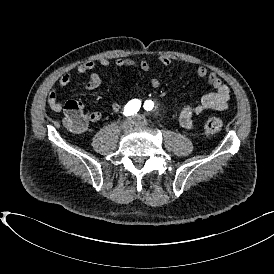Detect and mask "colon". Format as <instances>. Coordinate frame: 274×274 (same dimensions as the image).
Returning <instances> with one entry per match:
<instances>
[{
  "label": "colon",
  "mask_w": 274,
  "mask_h": 274,
  "mask_svg": "<svg viewBox=\"0 0 274 274\" xmlns=\"http://www.w3.org/2000/svg\"><path fill=\"white\" fill-rule=\"evenodd\" d=\"M82 104L77 100H69L64 104V124L74 132H82L87 125V116L83 114ZM222 121L218 117H210L204 123V132L207 135L219 133Z\"/></svg>",
  "instance_id": "obj_1"
}]
</instances>
